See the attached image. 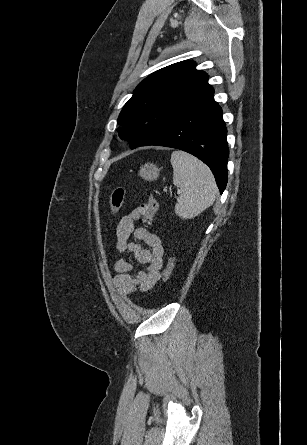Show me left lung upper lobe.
<instances>
[{
  "label": "left lung upper lobe",
  "instance_id": "1",
  "mask_svg": "<svg viewBox=\"0 0 307 445\" xmlns=\"http://www.w3.org/2000/svg\"><path fill=\"white\" fill-rule=\"evenodd\" d=\"M195 66L192 61L169 65L136 87L118 118V124L130 126L120 136L130 140L132 149L214 93L208 75Z\"/></svg>",
  "mask_w": 307,
  "mask_h": 445
}]
</instances>
